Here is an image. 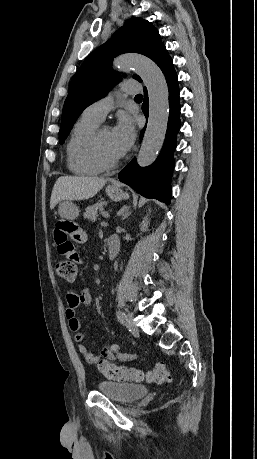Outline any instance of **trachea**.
<instances>
[{"label":"trachea","instance_id":"1","mask_svg":"<svg viewBox=\"0 0 257 459\" xmlns=\"http://www.w3.org/2000/svg\"><path fill=\"white\" fill-rule=\"evenodd\" d=\"M135 98H142V95H141V94H137V95L135 96Z\"/></svg>","mask_w":257,"mask_h":459}]
</instances>
